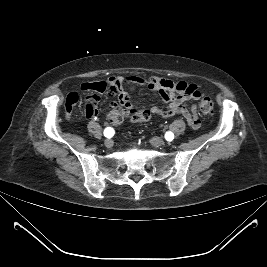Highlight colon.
<instances>
[{"label": "colon", "mask_w": 267, "mask_h": 267, "mask_svg": "<svg viewBox=\"0 0 267 267\" xmlns=\"http://www.w3.org/2000/svg\"><path fill=\"white\" fill-rule=\"evenodd\" d=\"M199 108L204 115H211L214 110L212 99L207 95H203L199 101ZM126 114L131 116L133 122H145L149 120L151 112L142 107H135L129 110L113 109L108 114L109 124L119 125Z\"/></svg>", "instance_id": "obj_1"}]
</instances>
